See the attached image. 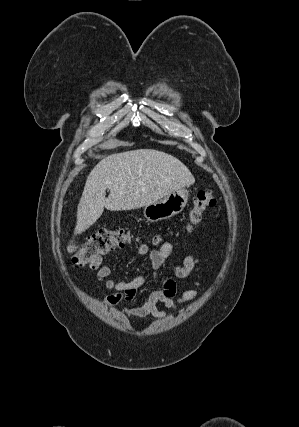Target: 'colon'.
Returning a JSON list of instances; mask_svg holds the SVG:
<instances>
[{
  "instance_id": "colon-1",
  "label": "colon",
  "mask_w": 299,
  "mask_h": 427,
  "mask_svg": "<svg viewBox=\"0 0 299 427\" xmlns=\"http://www.w3.org/2000/svg\"><path fill=\"white\" fill-rule=\"evenodd\" d=\"M216 205V198L210 190L198 191L189 212L187 229L190 230L199 225L205 212ZM129 240L130 233L127 229L101 228L93 233L72 256L71 264L76 269L92 266L115 249L123 247ZM154 243H160V238L156 237Z\"/></svg>"
}]
</instances>
